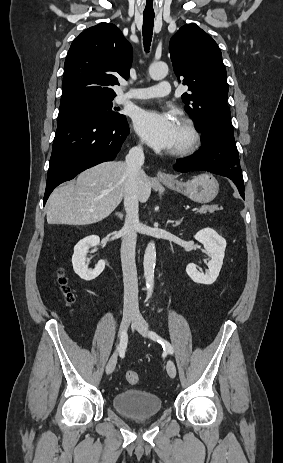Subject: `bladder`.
<instances>
[{
	"mask_svg": "<svg viewBox=\"0 0 283 463\" xmlns=\"http://www.w3.org/2000/svg\"><path fill=\"white\" fill-rule=\"evenodd\" d=\"M112 404L119 414L131 419L153 417L163 408L162 400L157 395L139 389H128L115 394Z\"/></svg>",
	"mask_w": 283,
	"mask_h": 463,
	"instance_id": "obj_1",
	"label": "bladder"
}]
</instances>
